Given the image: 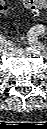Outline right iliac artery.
<instances>
[{"mask_svg": "<svg viewBox=\"0 0 47 129\" xmlns=\"http://www.w3.org/2000/svg\"><path fill=\"white\" fill-rule=\"evenodd\" d=\"M6 42V37L4 35L0 36V43H5Z\"/></svg>", "mask_w": 47, "mask_h": 129, "instance_id": "obj_1", "label": "right iliac artery"}]
</instances>
